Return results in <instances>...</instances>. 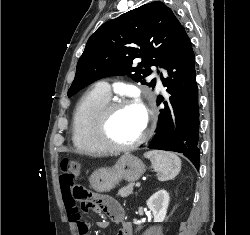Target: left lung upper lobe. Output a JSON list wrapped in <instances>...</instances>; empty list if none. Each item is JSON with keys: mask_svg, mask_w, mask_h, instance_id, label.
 Returning a JSON list of instances; mask_svg holds the SVG:
<instances>
[{"mask_svg": "<svg viewBox=\"0 0 250 235\" xmlns=\"http://www.w3.org/2000/svg\"><path fill=\"white\" fill-rule=\"evenodd\" d=\"M183 26L173 11L160 1L151 2L102 24L90 36L80 57L68 97L92 82L113 75H129L146 82L151 66L162 67ZM141 62L133 67V60Z\"/></svg>", "mask_w": 250, "mask_h": 235, "instance_id": "obj_1", "label": "left lung upper lobe"}]
</instances>
